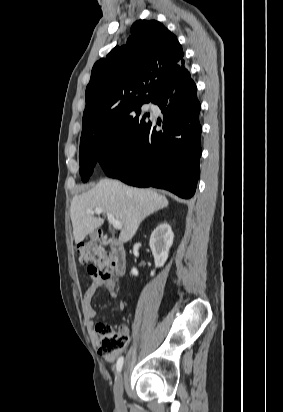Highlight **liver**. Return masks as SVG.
Wrapping results in <instances>:
<instances>
[{"instance_id":"1","label":"liver","mask_w":283,"mask_h":412,"mask_svg":"<svg viewBox=\"0 0 283 412\" xmlns=\"http://www.w3.org/2000/svg\"><path fill=\"white\" fill-rule=\"evenodd\" d=\"M168 206L165 196L151 190L128 187L117 180L103 179L95 187L73 197L70 217L75 243L104 223L86 210L103 208L122 224L119 240L122 243L133 238L140 223L149 215Z\"/></svg>"}]
</instances>
